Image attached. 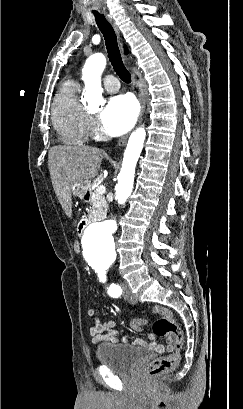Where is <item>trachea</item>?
Wrapping results in <instances>:
<instances>
[{"mask_svg": "<svg viewBox=\"0 0 243 409\" xmlns=\"http://www.w3.org/2000/svg\"><path fill=\"white\" fill-rule=\"evenodd\" d=\"M93 13L96 17L98 28L104 36L108 57L114 70L119 75L121 80H123L125 83H130L131 76L123 64L114 29L105 19L103 14H99L97 12Z\"/></svg>", "mask_w": 243, "mask_h": 409, "instance_id": "obj_1", "label": "trachea"}]
</instances>
